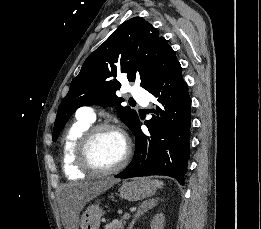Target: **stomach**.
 Here are the masks:
<instances>
[{"mask_svg":"<svg viewBox=\"0 0 261 229\" xmlns=\"http://www.w3.org/2000/svg\"><path fill=\"white\" fill-rule=\"evenodd\" d=\"M156 191L154 181L150 179H134L132 183H124L119 189L120 197L126 201H142L152 197ZM102 209L99 205L88 207L81 217V229H99Z\"/></svg>","mask_w":261,"mask_h":229,"instance_id":"obj_1","label":"stomach"}]
</instances>
